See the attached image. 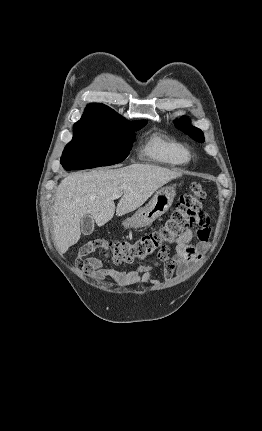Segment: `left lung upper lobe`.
<instances>
[{"mask_svg":"<svg viewBox=\"0 0 262 431\" xmlns=\"http://www.w3.org/2000/svg\"><path fill=\"white\" fill-rule=\"evenodd\" d=\"M176 127L188 134L194 140L198 142H204V136L200 129L193 127L189 124V119L185 116L181 117L177 121H174Z\"/></svg>","mask_w":262,"mask_h":431,"instance_id":"1","label":"left lung upper lobe"}]
</instances>
